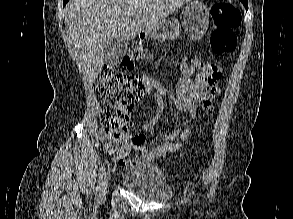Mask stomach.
Returning <instances> with one entry per match:
<instances>
[{
    "instance_id": "stomach-1",
    "label": "stomach",
    "mask_w": 293,
    "mask_h": 219,
    "mask_svg": "<svg viewBox=\"0 0 293 219\" xmlns=\"http://www.w3.org/2000/svg\"><path fill=\"white\" fill-rule=\"evenodd\" d=\"M183 26L187 35L193 40H200L209 26V10L198 1L188 3L183 9ZM177 21L164 19L148 27L147 33L153 39H176L179 36Z\"/></svg>"
}]
</instances>
